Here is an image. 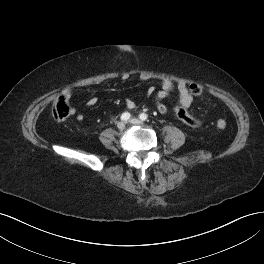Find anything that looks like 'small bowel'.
Listing matches in <instances>:
<instances>
[{"instance_id":"obj_1","label":"small bowel","mask_w":264,"mask_h":264,"mask_svg":"<svg viewBox=\"0 0 264 264\" xmlns=\"http://www.w3.org/2000/svg\"><path fill=\"white\" fill-rule=\"evenodd\" d=\"M142 80H147L148 78L146 76H142L141 77ZM128 79V75H124L122 77V80H127ZM174 89V83L170 80V79H163L161 82V90H159L156 95H155V104H156V109L159 113L161 114H165L167 111V106L164 103L165 98L171 93V91ZM176 89L178 91V95H179V101H180V105L188 108L190 107V105L193 102V96L192 94L189 92L188 87L186 85L185 82H179L176 85ZM74 93V90L69 89L66 90L63 93V96L66 99H70L72 97ZM155 94V88L153 86H150L147 89V96L151 97ZM97 103V98L96 97H91L87 100V105L88 106H93ZM126 106L130 109L134 108L135 104L132 100L128 99L126 101ZM77 120L78 121H83V115L79 114L77 115Z\"/></svg>"}]
</instances>
